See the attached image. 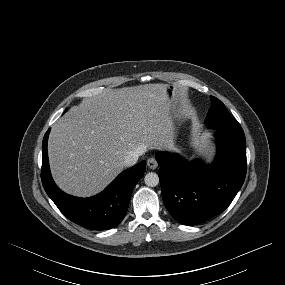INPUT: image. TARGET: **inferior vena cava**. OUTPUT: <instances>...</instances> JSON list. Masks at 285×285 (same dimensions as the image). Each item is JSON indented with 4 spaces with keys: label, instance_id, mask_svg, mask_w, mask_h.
<instances>
[{
    "label": "inferior vena cava",
    "instance_id": "1",
    "mask_svg": "<svg viewBox=\"0 0 285 285\" xmlns=\"http://www.w3.org/2000/svg\"><path fill=\"white\" fill-rule=\"evenodd\" d=\"M139 154L136 152L130 153L124 158L123 164L125 167H130L136 164Z\"/></svg>",
    "mask_w": 285,
    "mask_h": 285
}]
</instances>
